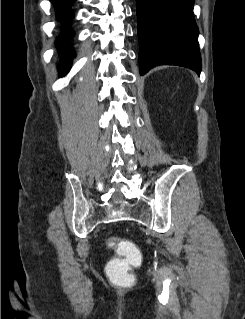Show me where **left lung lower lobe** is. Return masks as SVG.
Returning a JSON list of instances; mask_svg holds the SVG:
<instances>
[{
    "label": "left lung lower lobe",
    "mask_w": 245,
    "mask_h": 319,
    "mask_svg": "<svg viewBox=\"0 0 245 319\" xmlns=\"http://www.w3.org/2000/svg\"><path fill=\"white\" fill-rule=\"evenodd\" d=\"M139 68L144 75L158 65H179L201 72L195 0H136Z\"/></svg>",
    "instance_id": "1"
}]
</instances>
